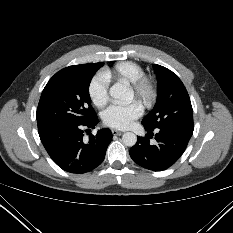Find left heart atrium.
<instances>
[{
  "label": "left heart atrium",
  "instance_id": "obj_1",
  "mask_svg": "<svg viewBox=\"0 0 233 233\" xmlns=\"http://www.w3.org/2000/svg\"><path fill=\"white\" fill-rule=\"evenodd\" d=\"M143 113V107L138 101L129 104H113L103 113L104 123L116 129H128Z\"/></svg>",
  "mask_w": 233,
  "mask_h": 233
}]
</instances>
